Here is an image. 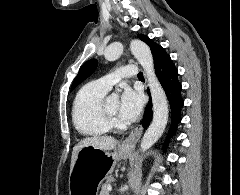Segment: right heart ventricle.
I'll list each match as a JSON object with an SVG mask.
<instances>
[{"label":"right heart ventricle","mask_w":240,"mask_h":195,"mask_svg":"<svg viewBox=\"0 0 240 195\" xmlns=\"http://www.w3.org/2000/svg\"><path fill=\"white\" fill-rule=\"evenodd\" d=\"M108 91L102 83L93 81L77 94L72 118L75 127L83 135L98 137L109 132L110 126L103 114V102Z\"/></svg>","instance_id":"e07e8e85"}]
</instances>
